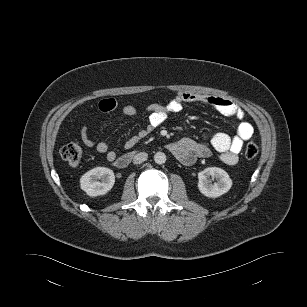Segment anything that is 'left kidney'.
I'll return each instance as SVG.
<instances>
[{
    "label": "left kidney",
    "mask_w": 307,
    "mask_h": 307,
    "mask_svg": "<svg viewBox=\"0 0 307 307\" xmlns=\"http://www.w3.org/2000/svg\"><path fill=\"white\" fill-rule=\"evenodd\" d=\"M210 177L217 182L211 183ZM232 186V180L228 173L218 167H208L198 173L199 191L206 197L216 198L228 192Z\"/></svg>",
    "instance_id": "5707ae66"
}]
</instances>
